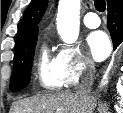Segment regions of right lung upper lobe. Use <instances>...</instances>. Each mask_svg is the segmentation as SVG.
Masks as SVG:
<instances>
[{
	"label": "right lung upper lobe",
	"instance_id": "right-lung-upper-lobe-1",
	"mask_svg": "<svg viewBox=\"0 0 123 113\" xmlns=\"http://www.w3.org/2000/svg\"><path fill=\"white\" fill-rule=\"evenodd\" d=\"M47 4L48 0L31 1L21 20L15 48L31 38L38 36L37 25L46 11Z\"/></svg>",
	"mask_w": 123,
	"mask_h": 113
}]
</instances>
